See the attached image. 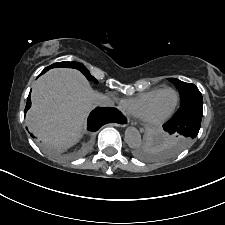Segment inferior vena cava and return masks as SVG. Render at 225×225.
<instances>
[{"mask_svg":"<svg viewBox=\"0 0 225 225\" xmlns=\"http://www.w3.org/2000/svg\"><path fill=\"white\" fill-rule=\"evenodd\" d=\"M94 104L99 107H112L114 102L110 97L99 94L94 98Z\"/></svg>","mask_w":225,"mask_h":225,"instance_id":"1","label":"inferior vena cava"}]
</instances>
